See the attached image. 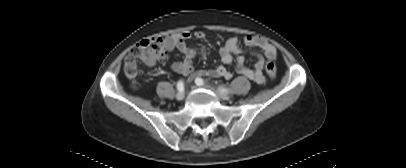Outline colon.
I'll return each instance as SVG.
<instances>
[{
    "label": "colon",
    "instance_id": "1",
    "mask_svg": "<svg viewBox=\"0 0 406 168\" xmlns=\"http://www.w3.org/2000/svg\"><path fill=\"white\" fill-rule=\"evenodd\" d=\"M167 58L164 39L158 36L149 37L135 45L124 59V73L127 78L134 80L139 74L141 64L156 65ZM266 72L274 79L277 69L273 61L268 60L265 64Z\"/></svg>",
    "mask_w": 406,
    "mask_h": 168
}]
</instances>
